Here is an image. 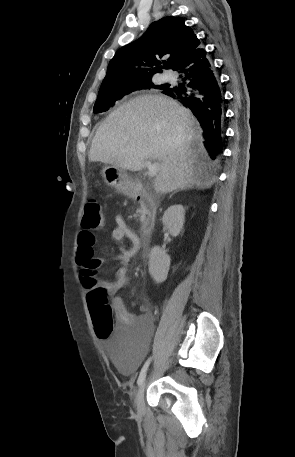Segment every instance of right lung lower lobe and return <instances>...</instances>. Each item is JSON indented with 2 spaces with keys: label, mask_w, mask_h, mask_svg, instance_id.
<instances>
[{
  "label": "right lung lower lobe",
  "mask_w": 295,
  "mask_h": 457,
  "mask_svg": "<svg viewBox=\"0 0 295 457\" xmlns=\"http://www.w3.org/2000/svg\"><path fill=\"white\" fill-rule=\"evenodd\" d=\"M180 72L178 87H167L163 93L189 107L199 120L205 145L215 159L223 149V99L216 77L206 58V51L195 49L182 58L173 69Z\"/></svg>",
  "instance_id": "right-lung-lower-lobe-1"
}]
</instances>
